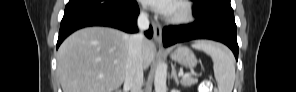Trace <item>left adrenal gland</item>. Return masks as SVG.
<instances>
[{
	"label": "left adrenal gland",
	"mask_w": 296,
	"mask_h": 92,
	"mask_svg": "<svg viewBox=\"0 0 296 92\" xmlns=\"http://www.w3.org/2000/svg\"><path fill=\"white\" fill-rule=\"evenodd\" d=\"M171 78H173L176 85H179V77L176 72L175 65H172Z\"/></svg>",
	"instance_id": "left-adrenal-gland-1"
}]
</instances>
